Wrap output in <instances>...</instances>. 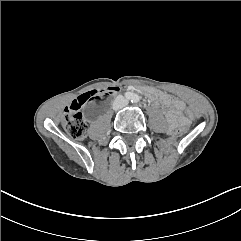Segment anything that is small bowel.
Returning a JSON list of instances; mask_svg holds the SVG:
<instances>
[{"instance_id": "1", "label": "small bowel", "mask_w": 241, "mask_h": 241, "mask_svg": "<svg viewBox=\"0 0 241 241\" xmlns=\"http://www.w3.org/2000/svg\"><path fill=\"white\" fill-rule=\"evenodd\" d=\"M115 92H117V88L116 90H113L111 93H115ZM151 95L158 98L166 106L169 107L167 117L172 126L174 125L183 126L187 124V121L182 114L185 107V104L183 101L158 92H152Z\"/></svg>"}]
</instances>
